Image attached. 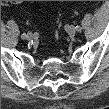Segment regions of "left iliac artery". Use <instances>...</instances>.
<instances>
[{"label":"left iliac artery","instance_id":"obj_1","mask_svg":"<svg viewBox=\"0 0 109 109\" xmlns=\"http://www.w3.org/2000/svg\"><path fill=\"white\" fill-rule=\"evenodd\" d=\"M75 28H76L77 31H81V29H82V28H81L80 26H78V25H77Z\"/></svg>","mask_w":109,"mask_h":109}]
</instances>
